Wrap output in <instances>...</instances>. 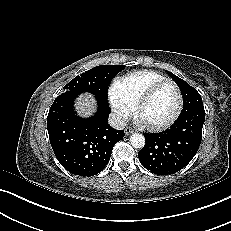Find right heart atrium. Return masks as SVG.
Wrapping results in <instances>:
<instances>
[{
  "instance_id": "d8ad5b80",
  "label": "right heart atrium",
  "mask_w": 231,
  "mask_h": 231,
  "mask_svg": "<svg viewBox=\"0 0 231 231\" xmlns=\"http://www.w3.org/2000/svg\"><path fill=\"white\" fill-rule=\"evenodd\" d=\"M109 100L113 114L118 122H124L130 115L129 107L119 98L116 89L109 92Z\"/></svg>"
}]
</instances>
